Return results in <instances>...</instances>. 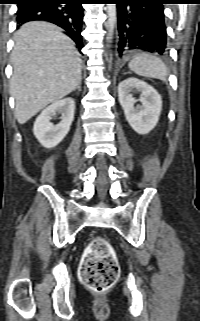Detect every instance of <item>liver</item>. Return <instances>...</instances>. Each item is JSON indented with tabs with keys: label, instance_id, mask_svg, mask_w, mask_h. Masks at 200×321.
<instances>
[{
	"label": "liver",
	"instance_id": "6515ba94",
	"mask_svg": "<svg viewBox=\"0 0 200 321\" xmlns=\"http://www.w3.org/2000/svg\"><path fill=\"white\" fill-rule=\"evenodd\" d=\"M14 41L10 92L15 99V117L24 124L77 87L81 59L74 42L46 22L24 24Z\"/></svg>",
	"mask_w": 200,
	"mask_h": 321
}]
</instances>
